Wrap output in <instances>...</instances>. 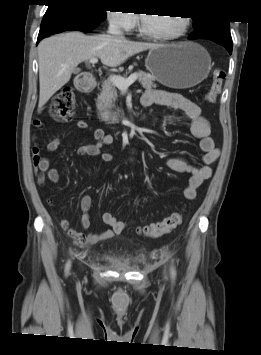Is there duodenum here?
<instances>
[{"label": "duodenum", "mask_w": 261, "mask_h": 355, "mask_svg": "<svg viewBox=\"0 0 261 355\" xmlns=\"http://www.w3.org/2000/svg\"><path fill=\"white\" fill-rule=\"evenodd\" d=\"M97 86V79L93 75L82 76L76 82V87L80 92H91Z\"/></svg>", "instance_id": "1"}]
</instances>
